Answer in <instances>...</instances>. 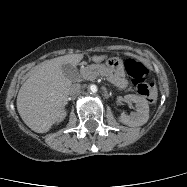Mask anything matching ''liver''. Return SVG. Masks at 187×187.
Returning a JSON list of instances; mask_svg holds the SVG:
<instances>
[{"label": "liver", "instance_id": "1", "mask_svg": "<svg viewBox=\"0 0 187 187\" xmlns=\"http://www.w3.org/2000/svg\"><path fill=\"white\" fill-rule=\"evenodd\" d=\"M107 55H93V62L99 63ZM83 54H72L44 61L29 74L17 96V110L24 123L37 133H46L56 122L67 105L72 82L63 71L62 65L76 67Z\"/></svg>", "mask_w": 187, "mask_h": 187}]
</instances>
